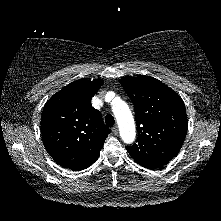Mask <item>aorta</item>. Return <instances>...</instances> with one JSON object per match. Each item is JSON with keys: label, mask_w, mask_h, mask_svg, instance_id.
I'll return each mask as SVG.
<instances>
[{"label": "aorta", "mask_w": 221, "mask_h": 221, "mask_svg": "<svg viewBox=\"0 0 221 221\" xmlns=\"http://www.w3.org/2000/svg\"><path fill=\"white\" fill-rule=\"evenodd\" d=\"M112 111L116 117L122 140L128 144L132 143L135 139L136 131L130 108L124 101L118 100L113 103Z\"/></svg>", "instance_id": "762f6f07"}]
</instances>
